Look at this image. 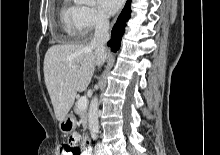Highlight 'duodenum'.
<instances>
[{
	"mask_svg": "<svg viewBox=\"0 0 220 155\" xmlns=\"http://www.w3.org/2000/svg\"><path fill=\"white\" fill-rule=\"evenodd\" d=\"M86 151L88 152V155H90V149H87Z\"/></svg>",
	"mask_w": 220,
	"mask_h": 155,
	"instance_id": "1",
	"label": "duodenum"
}]
</instances>
